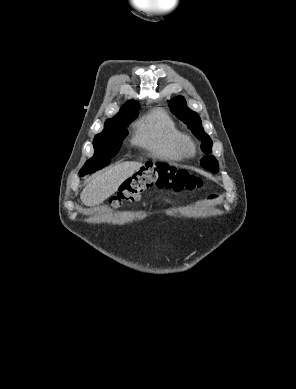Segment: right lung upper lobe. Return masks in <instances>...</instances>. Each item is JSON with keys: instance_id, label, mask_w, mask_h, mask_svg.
I'll use <instances>...</instances> for the list:
<instances>
[{"instance_id": "cb5924a9", "label": "right lung upper lobe", "mask_w": 296, "mask_h": 389, "mask_svg": "<svg viewBox=\"0 0 296 389\" xmlns=\"http://www.w3.org/2000/svg\"><path fill=\"white\" fill-rule=\"evenodd\" d=\"M140 106L135 101H128L120 110V112L115 116L118 117L122 114L131 112L133 110L139 109ZM113 117V118H115Z\"/></svg>"}]
</instances>
